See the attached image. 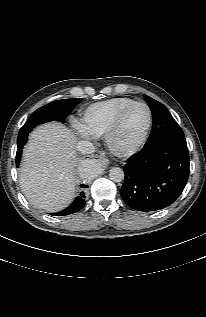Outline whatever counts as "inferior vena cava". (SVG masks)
I'll return each instance as SVG.
<instances>
[{"mask_svg":"<svg viewBox=\"0 0 206 317\" xmlns=\"http://www.w3.org/2000/svg\"><path fill=\"white\" fill-rule=\"evenodd\" d=\"M76 149L81 154H92L95 152L94 145L89 141H80L77 144Z\"/></svg>","mask_w":206,"mask_h":317,"instance_id":"602c4592","label":"inferior vena cava"}]
</instances>
